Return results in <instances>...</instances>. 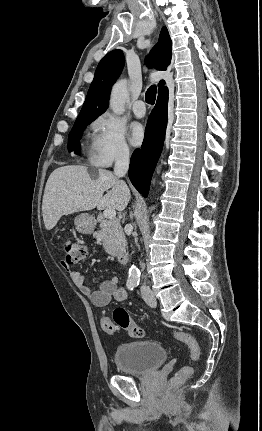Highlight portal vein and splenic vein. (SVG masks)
Instances as JSON below:
<instances>
[{
    "instance_id": "obj_1",
    "label": "portal vein and splenic vein",
    "mask_w": 262,
    "mask_h": 431,
    "mask_svg": "<svg viewBox=\"0 0 262 431\" xmlns=\"http://www.w3.org/2000/svg\"><path fill=\"white\" fill-rule=\"evenodd\" d=\"M103 214L105 218L112 220L116 216V211L114 209H107L104 210Z\"/></svg>"
}]
</instances>
